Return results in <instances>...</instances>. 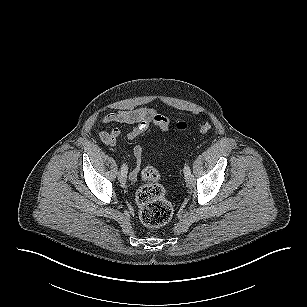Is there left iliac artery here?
Returning a JSON list of instances; mask_svg holds the SVG:
<instances>
[{"label":"left iliac artery","mask_w":307,"mask_h":307,"mask_svg":"<svg viewBox=\"0 0 307 307\" xmlns=\"http://www.w3.org/2000/svg\"><path fill=\"white\" fill-rule=\"evenodd\" d=\"M183 171L185 175L188 174L190 172V167L188 165H185Z\"/></svg>","instance_id":"1"}]
</instances>
